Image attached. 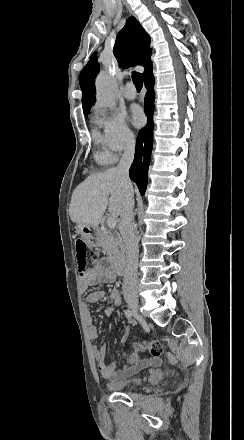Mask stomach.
Listing matches in <instances>:
<instances>
[{
    "instance_id": "obj_1",
    "label": "stomach",
    "mask_w": 244,
    "mask_h": 440,
    "mask_svg": "<svg viewBox=\"0 0 244 440\" xmlns=\"http://www.w3.org/2000/svg\"><path fill=\"white\" fill-rule=\"evenodd\" d=\"M77 234L86 242L89 248H97L100 244L101 230L99 226H86V224H76Z\"/></svg>"
}]
</instances>
